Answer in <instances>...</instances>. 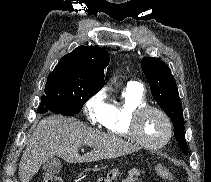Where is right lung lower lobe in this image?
I'll list each match as a JSON object with an SVG mask.
<instances>
[{
  "label": "right lung lower lobe",
  "mask_w": 211,
  "mask_h": 182,
  "mask_svg": "<svg viewBox=\"0 0 211 182\" xmlns=\"http://www.w3.org/2000/svg\"><path fill=\"white\" fill-rule=\"evenodd\" d=\"M48 111L49 112H54V113H59V111L53 106V104L51 102H47V103L41 104L39 109H38V112L40 114L46 113Z\"/></svg>",
  "instance_id": "right-lung-lower-lobe-1"
}]
</instances>
